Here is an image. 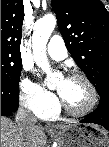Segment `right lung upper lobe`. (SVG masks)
Here are the masks:
<instances>
[{"instance_id":"obj_1","label":"right lung upper lobe","mask_w":109,"mask_h":147,"mask_svg":"<svg viewBox=\"0 0 109 147\" xmlns=\"http://www.w3.org/2000/svg\"><path fill=\"white\" fill-rule=\"evenodd\" d=\"M24 6L22 0H1V48L20 53Z\"/></svg>"}]
</instances>
